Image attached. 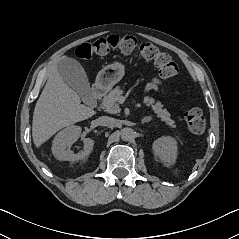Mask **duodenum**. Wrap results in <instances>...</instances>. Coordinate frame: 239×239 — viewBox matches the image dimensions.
I'll return each mask as SVG.
<instances>
[{"label":"duodenum","instance_id":"obj_1","mask_svg":"<svg viewBox=\"0 0 239 239\" xmlns=\"http://www.w3.org/2000/svg\"><path fill=\"white\" fill-rule=\"evenodd\" d=\"M106 92V89L103 85H97L92 90V97L94 100L101 99Z\"/></svg>","mask_w":239,"mask_h":239}]
</instances>
